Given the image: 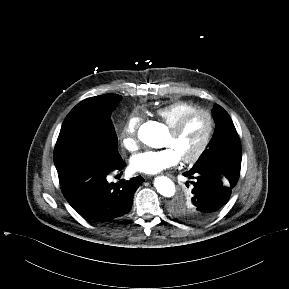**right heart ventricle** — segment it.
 Wrapping results in <instances>:
<instances>
[{
	"instance_id": "obj_1",
	"label": "right heart ventricle",
	"mask_w": 289,
	"mask_h": 289,
	"mask_svg": "<svg viewBox=\"0 0 289 289\" xmlns=\"http://www.w3.org/2000/svg\"><path fill=\"white\" fill-rule=\"evenodd\" d=\"M197 109L195 105L187 101H175L161 106L155 110V115L168 127L172 126L182 115Z\"/></svg>"
}]
</instances>
